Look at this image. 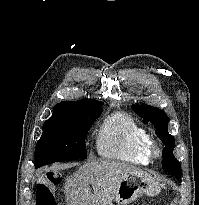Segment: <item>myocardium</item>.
I'll return each instance as SVG.
<instances>
[{"mask_svg": "<svg viewBox=\"0 0 199 205\" xmlns=\"http://www.w3.org/2000/svg\"><path fill=\"white\" fill-rule=\"evenodd\" d=\"M148 153L152 158H156L160 154V148L156 141L149 140Z\"/></svg>", "mask_w": 199, "mask_h": 205, "instance_id": "1", "label": "myocardium"}]
</instances>
